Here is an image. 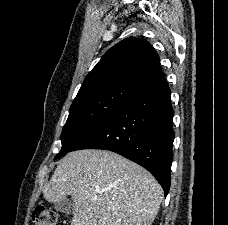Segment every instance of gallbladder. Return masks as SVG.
<instances>
[{
	"instance_id": "1",
	"label": "gallbladder",
	"mask_w": 228,
	"mask_h": 225,
	"mask_svg": "<svg viewBox=\"0 0 228 225\" xmlns=\"http://www.w3.org/2000/svg\"><path fill=\"white\" fill-rule=\"evenodd\" d=\"M72 203L69 201V199H62V201H56L54 203V209L56 211H61V213H65V215H72Z\"/></svg>"
}]
</instances>
